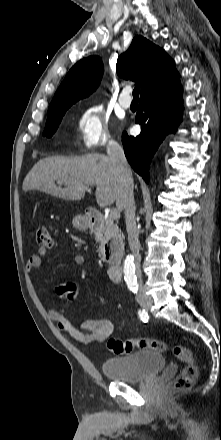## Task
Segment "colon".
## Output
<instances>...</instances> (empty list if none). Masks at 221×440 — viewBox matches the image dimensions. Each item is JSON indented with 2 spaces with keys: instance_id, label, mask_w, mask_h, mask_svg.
Returning <instances> with one entry per match:
<instances>
[{
  "instance_id": "5ec220e1",
  "label": "colon",
  "mask_w": 221,
  "mask_h": 440,
  "mask_svg": "<svg viewBox=\"0 0 221 440\" xmlns=\"http://www.w3.org/2000/svg\"><path fill=\"white\" fill-rule=\"evenodd\" d=\"M37 244L43 249L52 247V238L45 226H39L35 233ZM58 296L66 301H73L77 297V287L73 282H62L57 288ZM85 314L83 311L80 313ZM108 349L116 355H124L134 350L150 349L158 352L171 351V353L184 363L181 373L172 382H170L166 390L174 392L178 390L190 389L197 378V367L194 363V355L190 349L183 345H170L164 341L147 339V338H131V339H115L111 338L107 342Z\"/></svg>"
}]
</instances>
